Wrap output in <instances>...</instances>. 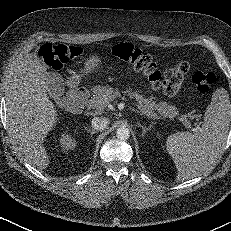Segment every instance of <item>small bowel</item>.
Here are the masks:
<instances>
[{
	"instance_id": "1",
	"label": "small bowel",
	"mask_w": 231,
	"mask_h": 231,
	"mask_svg": "<svg viewBox=\"0 0 231 231\" xmlns=\"http://www.w3.org/2000/svg\"><path fill=\"white\" fill-rule=\"evenodd\" d=\"M155 89L159 88L160 86L157 84H152Z\"/></svg>"
}]
</instances>
